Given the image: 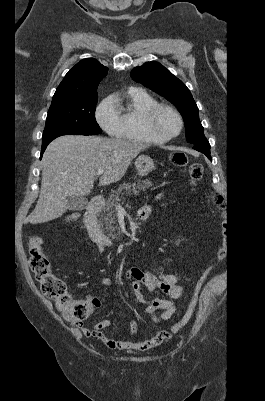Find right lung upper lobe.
I'll use <instances>...</instances> for the list:
<instances>
[{
    "label": "right lung upper lobe",
    "mask_w": 265,
    "mask_h": 401,
    "mask_svg": "<svg viewBox=\"0 0 265 401\" xmlns=\"http://www.w3.org/2000/svg\"><path fill=\"white\" fill-rule=\"evenodd\" d=\"M107 71V67L96 59L81 60L65 75L53 96L51 106L76 98L97 95L98 84Z\"/></svg>",
    "instance_id": "right-lung-upper-lobe-1"
}]
</instances>
